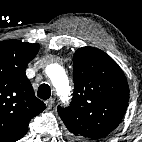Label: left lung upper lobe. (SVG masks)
<instances>
[{
  "label": "left lung upper lobe",
  "mask_w": 142,
  "mask_h": 142,
  "mask_svg": "<svg viewBox=\"0 0 142 142\" xmlns=\"http://www.w3.org/2000/svg\"><path fill=\"white\" fill-rule=\"evenodd\" d=\"M74 93L70 106L58 113L78 141L106 138L120 123L129 99L119 65L94 47L79 48L73 57Z\"/></svg>",
  "instance_id": "1"
}]
</instances>
